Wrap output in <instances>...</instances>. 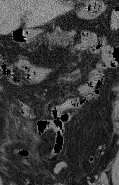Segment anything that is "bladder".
Returning a JSON list of instances; mask_svg holds the SVG:
<instances>
[{"label":"bladder","instance_id":"1","mask_svg":"<svg viewBox=\"0 0 119 185\" xmlns=\"http://www.w3.org/2000/svg\"><path fill=\"white\" fill-rule=\"evenodd\" d=\"M55 185H64V184H55Z\"/></svg>","mask_w":119,"mask_h":185}]
</instances>
